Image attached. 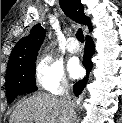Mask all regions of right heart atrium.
<instances>
[{
	"label": "right heart atrium",
	"mask_w": 122,
	"mask_h": 123,
	"mask_svg": "<svg viewBox=\"0 0 122 123\" xmlns=\"http://www.w3.org/2000/svg\"><path fill=\"white\" fill-rule=\"evenodd\" d=\"M34 79L37 86L51 94L59 95L68 88L63 67L49 56H40L35 64Z\"/></svg>",
	"instance_id": "obj_1"
}]
</instances>
